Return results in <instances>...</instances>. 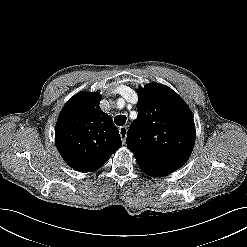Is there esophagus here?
<instances>
[{
    "label": "esophagus",
    "mask_w": 247,
    "mask_h": 247,
    "mask_svg": "<svg viewBox=\"0 0 247 247\" xmlns=\"http://www.w3.org/2000/svg\"><path fill=\"white\" fill-rule=\"evenodd\" d=\"M127 131H128V129L126 126H122L119 128V133H120L121 140H122L123 144H125V142H126Z\"/></svg>",
    "instance_id": "obj_1"
}]
</instances>
